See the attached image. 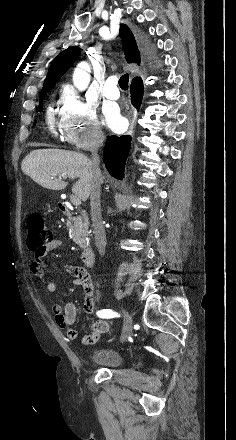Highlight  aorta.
<instances>
[{
	"mask_svg": "<svg viewBox=\"0 0 236 440\" xmlns=\"http://www.w3.org/2000/svg\"><path fill=\"white\" fill-rule=\"evenodd\" d=\"M88 72H90V67L86 62L79 63L75 69L73 73V83L79 90L87 88L90 81Z\"/></svg>",
	"mask_w": 236,
	"mask_h": 440,
	"instance_id": "762f6f07",
	"label": "aorta"
}]
</instances>
